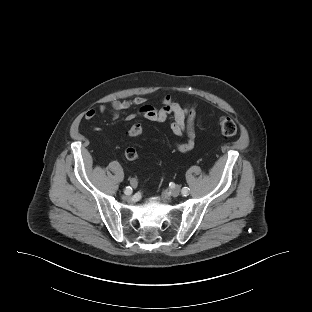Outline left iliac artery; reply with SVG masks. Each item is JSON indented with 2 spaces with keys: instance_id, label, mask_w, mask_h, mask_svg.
Segmentation results:
<instances>
[{
  "instance_id": "obj_1",
  "label": "left iliac artery",
  "mask_w": 312,
  "mask_h": 312,
  "mask_svg": "<svg viewBox=\"0 0 312 312\" xmlns=\"http://www.w3.org/2000/svg\"><path fill=\"white\" fill-rule=\"evenodd\" d=\"M188 192H189V188H188V187H184V188L182 189V194H183L184 196H186V195L188 194Z\"/></svg>"
}]
</instances>
